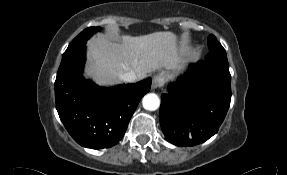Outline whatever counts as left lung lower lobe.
Returning <instances> with one entry per match:
<instances>
[{
	"label": "left lung lower lobe",
	"mask_w": 287,
	"mask_h": 175,
	"mask_svg": "<svg viewBox=\"0 0 287 175\" xmlns=\"http://www.w3.org/2000/svg\"><path fill=\"white\" fill-rule=\"evenodd\" d=\"M229 65L201 60L161 96L160 123L165 137L174 145L201 144L222 124L231 100Z\"/></svg>",
	"instance_id": "0a47b994"
}]
</instances>
